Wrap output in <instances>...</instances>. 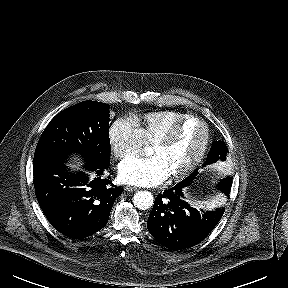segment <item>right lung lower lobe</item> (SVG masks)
Instances as JSON below:
<instances>
[{"label":"right lung lower lobe","instance_id":"obj_1","mask_svg":"<svg viewBox=\"0 0 288 288\" xmlns=\"http://www.w3.org/2000/svg\"><path fill=\"white\" fill-rule=\"evenodd\" d=\"M109 163L87 168L95 172L89 181L86 174H71L61 162L39 163L33 167L38 203L50 224L63 235L82 239L101 230L108 222L121 187H111L103 178Z\"/></svg>","mask_w":288,"mask_h":288}]
</instances>
